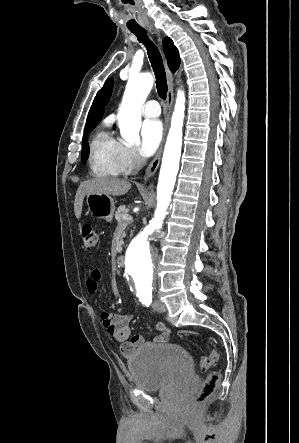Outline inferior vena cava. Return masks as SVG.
Returning <instances> with one entry per match:
<instances>
[{
  "label": "inferior vena cava",
  "instance_id": "1",
  "mask_svg": "<svg viewBox=\"0 0 299 443\" xmlns=\"http://www.w3.org/2000/svg\"><path fill=\"white\" fill-rule=\"evenodd\" d=\"M144 164L145 158H143L142 156H137L134 163V174H137Z\"/></svg>",
  "mask_w": 299,
  "mask_h": 443
}]
</instances>
